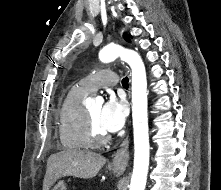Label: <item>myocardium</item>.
Instances as JSON below:
<instances>
[{"label":"myocardium","mask_w":221,"mask_h":190,"mask_svg":"<svg viewBox=\"0 0 221 190\" xmlns=\"http://www.w3.org/2000/svg\"><path fill=\"white\" fill-rule=\"evenodd\" d=\"M84 117H85V137L88 146L99 147L106 144L110 139L109 135L106 133L103 134L98 133L96 131L88 109H85Z\"/></svg>","instance_id":"obj_1"}]
</instances>
